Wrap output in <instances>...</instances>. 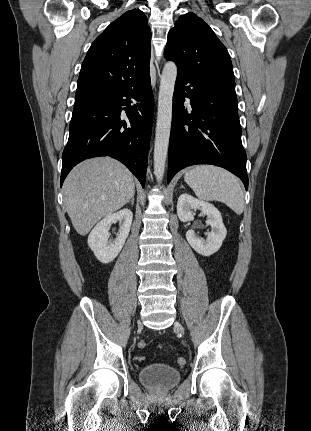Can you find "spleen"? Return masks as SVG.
<instances>
[{
	"label": "spleen",
	"mask_w": 311,
	"mask_h": 431,
	"mask_svg": "<svg viewBox=\"0 0 311 431\" xmlns=\"http://www.w3.org/2000/svg\"><path fill=\"white\" fill-rule=\"evenodd\" d=\"M184 180L199 200L223 202L235 214H243L244 194L235 176L216 166H195L190 168Z\"/></svg>",
	"instance_id": "1"
}]
</instances>
